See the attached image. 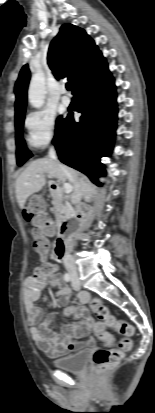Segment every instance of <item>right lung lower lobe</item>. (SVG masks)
I'll return each instance as SVG.
<instances>
[{
	"label": "right lung lower lobe",
	"mask_w": 155,
	"mask_h": 413,
	"mask_svg": "<svg viewBox=\"0 0 155 413\" xmlns=\"http://www.w3.org/2000/svg\"><path fill=\"white\" fill-rule=\"evenodd\" d=\"M74 97L80 104V122L68 114L53 144L61 162L101 186L98 177L105 175V169L100 158L111 153L118 112L114 79L108 68L78 87Z\"/></svg>",
	"instance_id": "98d812e1"
}]
</instances>
